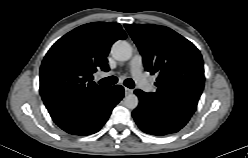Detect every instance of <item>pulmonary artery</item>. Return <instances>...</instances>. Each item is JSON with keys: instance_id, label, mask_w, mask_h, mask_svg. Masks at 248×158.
<instances>
[{"instance_id": "obj_1", "label": "pulmonary artery", "mask_w": 248, "mask_h": 158, "mask_svg": "<svg viewBox=\"0 0 248 158\" xmlns=\"http://www.w3.org/2000/svg\"><path fill=\"white\" fill-rule=\"evenodd\" d=\"M129 67L131 73L141 89L144 91H151L152 86L150 80L142 72L143 69V59L142 56L136 53L130 60Z\"/></svg>"}]
</instances>
